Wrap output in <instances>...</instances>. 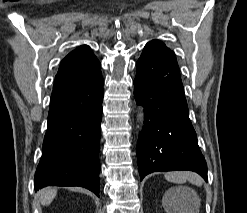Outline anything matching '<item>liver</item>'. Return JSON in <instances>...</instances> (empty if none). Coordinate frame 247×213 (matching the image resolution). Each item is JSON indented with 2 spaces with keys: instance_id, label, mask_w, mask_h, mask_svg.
Here are the masks:
<instances>
[{
  "instance_id": "obj_1",
  "label": "liver",
  "mask_w": 247,
  "mask_h": 213,
  "mask_svg": "<svg viewBox=\"0 0 247 213\" xmlns=\"http://www.w3.org/2000/svg\"><path fill=\"white\" fill-rule=\"evenodd\" d=\"M57 194V190L55 188H44L39 191L38 196L40 198V202L43 206L49 205Z\"/></svg>"
}]
</instances>
